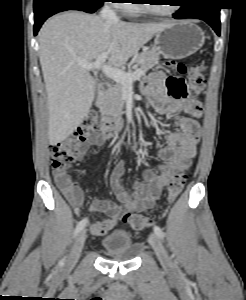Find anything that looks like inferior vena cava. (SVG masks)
Returning a JSON list of instances; mask_svg holds the SVG:
<instances>
[{
	"instance_id": "inferior-vena-cava-1",
	"label": "inferior vena cava",
	"mask_w": 246,
	"mask_h": 300,
	"mask_svg": "<svg viewBox=\"0 0 246 300\" xmlns=\"http://www.w3.org/2000/svg\"><path fill=\"white\" fill-rule=\"evenodd\" d=\"M100 16L105 21H109V22L119 21V18L117 17L115 11L112 10L111 7L108 5H105L102 8V10L100 12Z\"/></svg>"
}]
</instances>
